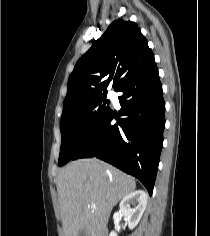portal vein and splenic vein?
Returning a JSON list of instances; mask_svg holds the SVG:
<instances>
[{
	"label": "portal vein and splenic vein",
	"mask_w": 210,
	"mask_h": 236,
	"mask_svg": "<svg viewBox=\"0 0 210 236\" xmlns=\"http://www.w3.org/2000/svg\"><path fill=\"white\" fill-rule=\"evenodd\" d=\"M91 208L95 209V205H94V204H92V205H91Z\"/></svg>",
	"instance_id": "obj_1"
}]
</instances>
